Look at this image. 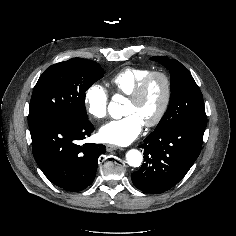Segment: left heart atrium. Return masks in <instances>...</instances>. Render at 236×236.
I'll return each instance as SVG.
<instances>
[{
	"label": "left heart atrium",
	"mask_w": 236,
	"mask_h": 236,
	"mask_svg": "<svg viewBox=\"0 0 236 236\" xmlns=\"http://www.w3.org/2000/svg\"><path fill=\"white\" fill-rule=\"evenodd\" d=\"M143 125L141 118L132 113L103 125L99 130V138L106 143L125 146L140 135Z\"/></svg>",
	"instance_id": "39dd6f15"
}]
</instances>
